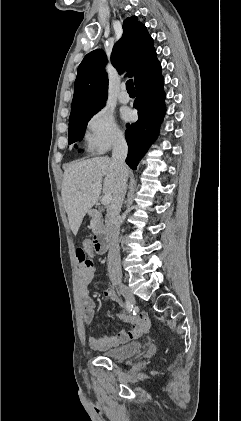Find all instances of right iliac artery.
I'll return each instance as SVG.
<instances>
[{"label":"right iliac artery","instance_id":"obj_1","mask_svg":"<svg viewBox=\"0 0 241 421\" xmlns=\"http://www.w3.org/2000/svg\"><path fill=\"white\" fill-rule=\"evenodd\" d=\"M132 308H133V305L130 304L128 301H126V310H127V312H131L132 311Z\"/></svg>","mask_w":241,"mask_h":421}]
</instances>
